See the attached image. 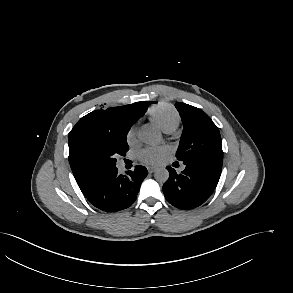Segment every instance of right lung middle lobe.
I'll return each instance as SVG.
<instances>
[{
    "mask_svg": "<svg viewBox=\"0 0 293 293\" xmlns=\"http://www.w3.org/2000/svg\"><path fill=\"white\" fill-rule=\"evenodd\" d=\"M130 118L119 133H90L85 138L84 153L86 157L99 165L116 167V156H125L129 149L126 141L127 133L135 122Z\"/></svg>",
    "mask_w": 293,
    "mask_h": 293,
    "instance_id": "right-lung-middle-lobe-1",
    "label": "right lung middle lobe"
}]
</instances>
